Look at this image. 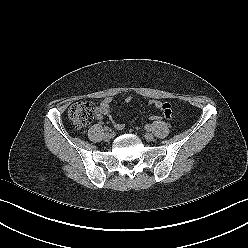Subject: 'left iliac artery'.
I'll return each mask as SVG.
<instances>
[{"label": "left iliac artery", "instance_id": "44dca946", "mask_svg": "<svg viewBox=\"0 0 248 248\" xmlns=\"http://www.w3.org/2000/svg\"><path fill=\"white\" fill-rule=\"evenodd\" d=\"M145 128H146L147 130H151V125H150V124H147V125L145 126Z\"/></svg>", "mask_w": 248, "mask_h": 248}]
</instances>
